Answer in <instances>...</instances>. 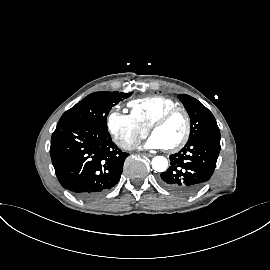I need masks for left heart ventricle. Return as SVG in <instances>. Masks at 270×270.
<instances>
[{
	"label": "left heart ventricle",
	"mask_w": 270,
	"mask_h": 270,
	"mask_svg": "<svg viewBox=\"0 0 270 270\" xmlns=\"http://www.w3.org/2000/svg\"><path fill=\"white\" fill-rule=\"evenodd\" d=\"M186 119L182 113H176L165 124L158 127L153 135L157 136L164 147L175 145L184 135Z\"/></svg>",
	"instance_id": "left-heart-ventricle-1"
}]
</instances>
